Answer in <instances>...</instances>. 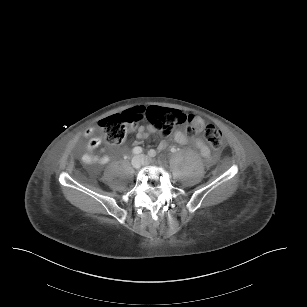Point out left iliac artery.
<instances>
[{
	"mask_svg": "<svg viewBox=\"0 0 307 307\" xmlns=\"http://www.w3.org/2000/svg\"><path fill=\"white\" fill-rule=\"evenodd\" d=\"M148 154H149L150 157H155L156 156V152L153 149H151Z\"/></svg>",
	"mask_w": 307,
	"mask_h": 307,
	"instance_id": "left-iliac-artery-1",
	"label": "left iliac artery"
}]
</instances>
